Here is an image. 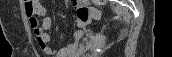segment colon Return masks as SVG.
Here are the masks:
<instances>
[{"mask_svg":"<svg viewBox=\"0 0 172 57\" xmlns=\"http://www.w3.org/2000/svg\"><path fill=\"white\" fill-rule=\"evenodd\" d=\"M102 16V11L94 7H78L76 9V17L82 23L91 22Z\"/></svg>","mask_w":172,"mask_h":57,"instance_id":"obj_1","label":"colon"}]
</instances>
